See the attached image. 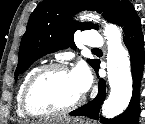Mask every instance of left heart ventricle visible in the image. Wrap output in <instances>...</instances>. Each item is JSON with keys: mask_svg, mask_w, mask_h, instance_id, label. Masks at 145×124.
Here are the masks:
<instances>
[{"mask_svg": "<svg viewBox=\"0 0 145 124\" xmlns=\"http://www.w3.org/2000/svg\"><path fill=\"white\" fill-rule=\"evenodd\" d=\"M71 72L51 71L36 84L31 95L35 109L63 108L81 97Z\"/></svg>", "mask_w": 145, "mask_h": 124, "instance_id": "b2bd125f", "label": "left heart ventricle"}]
</instances>
